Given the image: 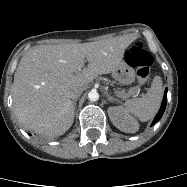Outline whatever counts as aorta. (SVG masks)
Masks as SVG:
<instances>
[{
	"label": "aorta",
	"instance_id": "aorta-1",
	"mask_svg": "<svg viewBox=\"0 0 187 187\" xmlns=\"http://www.w3.org/2000/svg\"><path fill=\"white\" fill-rule=\"evenodd\" d=\"M88 98L90 101H97L99 99V94L97 91L92 90L88 93Z\"/></svg>",
	"mask_w": 187,
	"mask_h": 187
}]
</instances>
